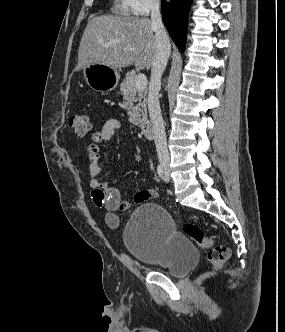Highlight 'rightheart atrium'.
I'll use <instances>...</instances> for the list:
<instances>
[{
	"mask_svg": "<svg viewBox=\"0 0 285 332\" xmlns=\"http://www.w3.org/2000/svg\"><path fill=\"white\" fill-rule=\"evenodd\" d=\"M131 12L138 16L147 15L153 9L158 8L161 0H127Z\"/></svg>",
	"mask_w": 285,
	"mask_h": 332,
	"instance_id": "d8ad5b80",
	"label": "right heart atrium"
}]
</instances>
